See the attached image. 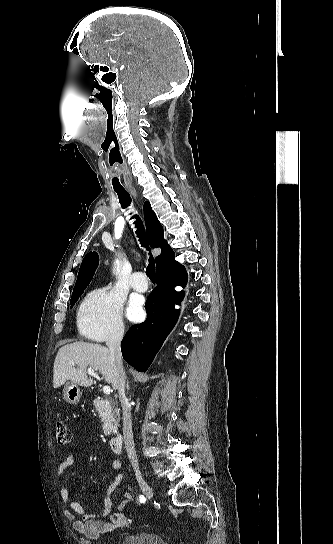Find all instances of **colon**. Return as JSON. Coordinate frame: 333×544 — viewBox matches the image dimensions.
Here are the masks:
<instances>
[{
  "label": "colon",
  "mask_w": 333,
  "mask_h": 544,
  "mask_svg": "<svg viewBox=\"0 0 333 544\" xmlns=\"http://www.w3.org/2000/svg\"><path fill=\"white\" fill-rule=\"evenodd\" d=\"M56 441L61 446L68 445L72 441V435L68 426L61 420L56 422Z\"/></svg>",
  "instance_id": "colon-1"
}]
</instances>
